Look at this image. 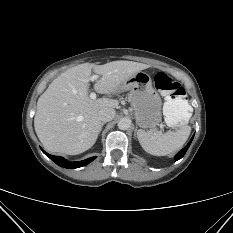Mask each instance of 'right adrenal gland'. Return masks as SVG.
Masks as SVG:
<instances>
[{
  "mask_svg": "<svg viewBox=\"0 0 233 233\" xmlns=\"http://www.w3.org/2000/svg\"><path fill=\"white\" fill-rule=\"evenodd\" d=\"M106 124V122H103L102 124H101V128H100V132H101V130H102V128H103V126Z\"/></svg>",
  "mask_w": 233,
  "mask_h": 233,
  "instance_id": "obj_1",
  "label": "right adrenal gland"
}]
</instances>
